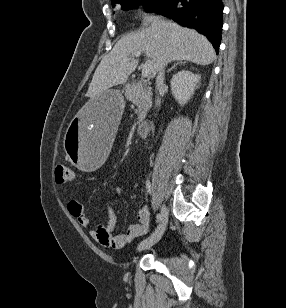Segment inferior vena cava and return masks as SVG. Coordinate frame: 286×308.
Listing matches in <instances>:
<instances>
[{
  "label": "inferior vena cava",
  "mask_w": 286,
  "mask_h": 308,
  "mask_svg": "<svg viewBox=\"0 0 286 308\" xmlns=\"http://www.w3.org/2000/svg\"><path fill=\"white\" fill-rule=\"evenodd\" d=\"M165 65L160 69V71L158 72V75L156 77V90L161 94L164 90V80H165V70H164ZM156 105L160 106L161 103V99L159 98V96L156 99Z\"/></svg>",
  "instance_id": "inferior-vena-cava-1"
}]
</instances>
